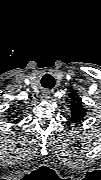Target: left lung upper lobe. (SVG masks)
<instances>
[{
    "mask_svg": "<svg viewBox=\"0 0 101 180\" xmlns=\"http://www.w3.org/2000/svg\"><path fill=\"white\" fill-rule=\"evenodd\" d=\"M69 97L72 100L70 105L71 108V118L74 122L82 120L86 115V110L79 99L76 97V92H72L69 94Z\"/></svg>",
    "mask_w": 101,
    "mask_h": 180,
    "instance_id": "left-lung-upper-lobe-1",
    "label": "left lung upper lobe"
}]
</instances>
